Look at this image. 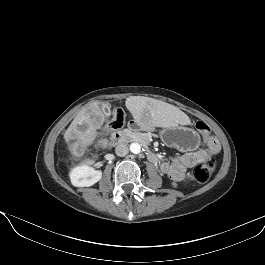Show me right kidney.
<instances>
[{
  "label": "right kidney",
  "mask_w": 265,
  "mask_h": 265,
  "mask_svg": "<svg viewBox=\"0 0 265 265\" xmlns=\"http://www.w3.org/2000/svg\"><path fill=\"white\" fill-rule=\"evenodd\" d=\"M102 177V172L82 164L75 167L70 173V180L75 187H90L97 183Z\"/></svg>",
  "instance_id": "right-kidney-1"
}]
</instances>
